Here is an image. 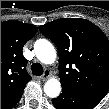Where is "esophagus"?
I'll use <instances>...</instances> for the list:
<instances>
[{
    "instance_id": "obj_1",
    "label": "esophagus",
    "mask_w": 109,
    "mask_h": 109,
    "mask_svg": "<svg viewBox=\"0 0 109 109\" xmlns=\"http://www.w3.org/2000/svg\"><path fill=\"white\" fill-rule=\"evenodd\" d=\"M50 77V72L49 70H45L44 74L40 77L43 81L48 79Z\"/></svg>"
}]
</instances>
